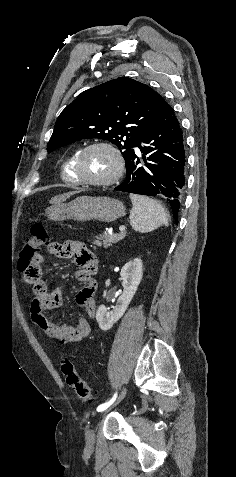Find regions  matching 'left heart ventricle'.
<instances>
[{
	"label": "left heart ventricle",
	"mask_w": 236,
	"mask_h": 477,
	"mask_svg": "<svg viewBox=\"0 0 236 477\" xmlns=\"http://www.w3.org/2000/svg\"><path fill=\"white\" fill-rule=\"evenodd\" d=\"M115 170L112 155L103 148H94L86 153L81 162V174L90 180H102L110 177Z\"/></svg>",
	"instance_id": "1"
}]
</instances>
